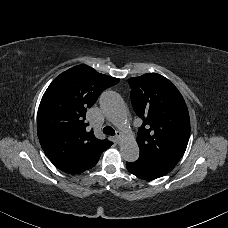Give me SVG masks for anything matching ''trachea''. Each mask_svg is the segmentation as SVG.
I'll list each match as a JSON object with an SVG mask.
<instances>
[{
	"mask_svg": "<svg viewBox=\"0 0 228 228\" xmlns=\"http://www.w3.org/2000/svg\"><path fill=\"white\" fill-rule=\"evenodd\" d=\"M103 133L106 134V135H111V136L116 134L115 130L112 127H110V126L104 127L103 128Z\"/></svg>",
	"mask_w": 228,
	"mask_h": 228,
	"instance_id": "1",
	"label": "trachea"
}]
</instances>
